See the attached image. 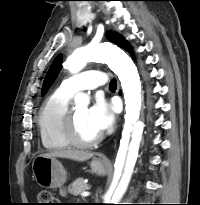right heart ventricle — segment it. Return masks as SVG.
<instances>
[{
    "label": "right heart ventricle",
    "instance_id": "obj_1",
    "mask_svg": "<svg viewBox=\"0 0 200 205\" xmlns=\"http://www.w3.org/2000/svg\"><path fill=\"white\" fill-rule=\"evenodd\" d=\"M71 97L59 88L45 100L39 111L40 139L47 150H63L70 146L64 135V121Z\"/></svg>",
    "mask_w": 200,
    "mask_h": 205
}]
</instances>
